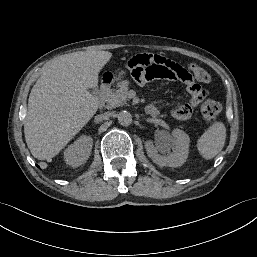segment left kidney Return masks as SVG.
<instances>
[{"instance_id":"5707ae66","label":"left kidney","mask_w":257,"mask_h":257,"mask_svg":"<svg viewBox=\"0 0 257 257\" xmlns=\"http://www.w3.org/2000/svg\"><path fill=\"white\" fill-rule=\"evenodd\" d=\"M147 141L145 148L148 156L160 167H179L184 164L189 153V136L180 129L171 133L163 131L156 140ZM172 150V152H171Z\"/></svg>"}]
</instances>
